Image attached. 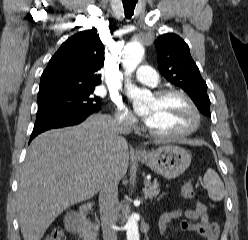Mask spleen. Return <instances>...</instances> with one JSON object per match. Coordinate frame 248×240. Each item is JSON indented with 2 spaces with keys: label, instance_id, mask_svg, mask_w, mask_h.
<instances>
[{
  "label": "spleen",
  "instance_id": "1",
  "mask_svg": "<svg viewBox=\"0 0 248 240\" xmlns=\"http://www.w3.org/2000/svg\"><path fill=\"white\" fill-rule=\"evenodd\" d=\"M203 181L211 200L221 201L224 198V184L215 170L208 169L204 175Z\"/></svg>",
  "mask_w": 248,
  "mask_h": 240
}]
</instances>
